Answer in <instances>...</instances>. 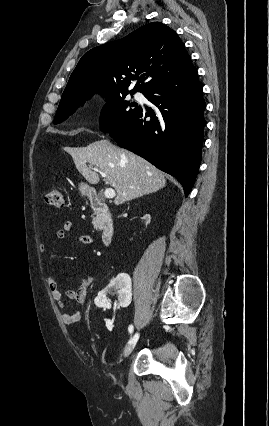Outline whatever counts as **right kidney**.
<instances>
[{"instance_id": "ca27d5eb", "label": "right kidney", "mask_w": 269, "mask_h": 426, "mask_svg": "<svg viewBox=\"0 0 269 426\" xmlns=\"http://www.w3.org/2000/svg\"><path fill=\"white\" fill-rule=\"evenodd\" d=\"M151 216L146 214L141 216V221H143L142 229L148 230ZM129 280V275L127 273H120L118 278L111 281L108 286L102 288V292L98 295L96 299V305L100 306L103 311H110L112 308L111 303L107 300L106 295H114L115 289L118 291V299L115 304V309L118 311H126L131 305L132 300V288ZM115 287V288H114Z\"/></svg>"}]
</instances>
